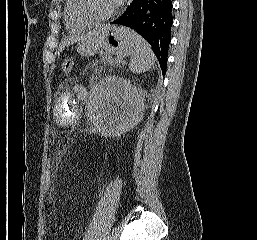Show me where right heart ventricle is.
<instances>
[{
	"instance_id": "e07e8e85",
	"label": "right heart ventricle",
	"mask_w": 257,
	"mask_h": 240,
	"mask_svg": "<svg viewBox=\"0 0 257 240\" xmlns=\"http://www.w3.org/2000/svg\"><path fill=\"white\" fill-rule=\"evenodd\" d=\"M64 23L69 32H80L93 24L81 19L75 10V0H66L64 5Z\"/></svg>"
}]
</instances>
